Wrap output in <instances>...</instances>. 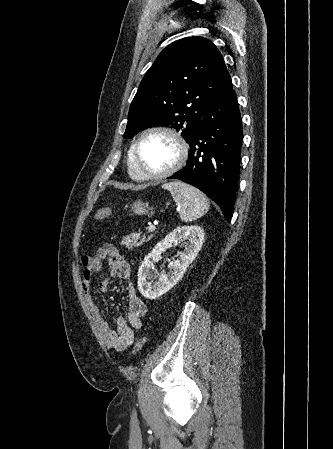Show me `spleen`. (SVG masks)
Wrapping results in <instances>:
<instances>
[{"mask_svg": "<svg viewBox=\"0 0 333 449\" xmlns=\"http://www.w3.org/2000/svg\"><path fill=\"white\" fill-rule=\"evenodd\" d=\"M170 191L173 200L177 203L181 220L190 222L203 216L209 209L207 197L194 186L180 181L163 185Z\"/></svg>", "mask_w": 333, "mask_h": 449, "instance_id": "1", "label": "spleen"}]
</instances>
